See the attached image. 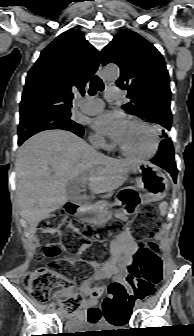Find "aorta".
Segmentation results:
<instances>
[{
  "label": "aorta",
  "instance_id": "762f6f07",
  "mask_svg": "<svg viewBox=\"0 0 194 336\" xmlns=\"http://www.w3.org/2000/svg\"><path fill=\"white\" fill-rule=\"evenodd\" d=\"M119 74V68L116 65H107L103 68V75L108 80L117 79Z\"/></svg>",
  "mask_w": 194,
  "mask_h": 336
}]
</instances>
